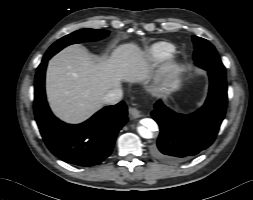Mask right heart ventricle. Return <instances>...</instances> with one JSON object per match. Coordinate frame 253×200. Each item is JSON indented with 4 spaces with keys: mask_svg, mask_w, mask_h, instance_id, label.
<instances>
[{
    "mask_svg": "<svg viewBox=\"0 0 253 200\" xmlns=\"http://www.w3.org/2000/svg\"><path fill=\"white\" fill-rule=\"evenodd\" d=\"M174 50V46L170 43L157 42L147 48L146 56L149 61L157 62L172 55Z\"/></svg>",
    "mask_w": 253,
    "mask_h": 200,
    "instance_id": "right-heart-ventricle-1",
    "label": "right heart ventricle"
}]
</instances>
